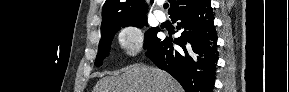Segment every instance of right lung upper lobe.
<instances>
[{
    "label": "right lung upper lobe",
    "mask_w": 289,
    "mask_h": 92,
    "mask_svg": "<svg viewBox=\"0 0 289 92\" xmlns=\"http://www.w3.org/2000/svg\"><path fill=\"white\" fill-rule=\"evenodd\" d=\"M170 17L175 13L193 8L203 0H168ZM153 3V1H151ZM148 6L144 0H106L102 8L101 30L116 23L146 18Z\"/></svg>",
    "instance_id": "right-lung-upper-lobe-1"
}]
</instances>
